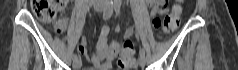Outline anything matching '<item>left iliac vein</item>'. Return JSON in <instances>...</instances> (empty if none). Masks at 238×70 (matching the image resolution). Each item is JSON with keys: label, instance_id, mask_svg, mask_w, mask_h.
Wrapping results in <instances>:
<instances>
[{"label": "left iliac vein", "instance_id": "1", "mask_svg": "<svg viewBox=\"0 0 238 70\" xmlns=\"http://www.w3.org/2000/svg\"><path fill=\"white\" fill-rule=\"evenodd\" d=\"M138 63L141 67H144L145 65V57L144 56H140L139 57V60H138Z\"/></svg>", "mask_w": 238, "mask_h": 70}]
</instances>
